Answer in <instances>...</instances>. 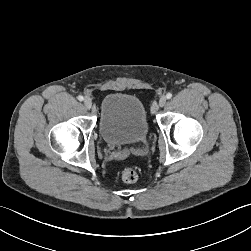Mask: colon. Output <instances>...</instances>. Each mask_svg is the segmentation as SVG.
<instances>
[{
	"label": "colon",
	"mask_w": 251,
	"mask_h": 251,
	"mask_svg": "<svg viewBox=\"0 0 251 251\" xmlns=\"http://www.w3.org/2000/svg\"><path fill=\"white\" fill-rule=\"evenodd\" d=\"M122 180L126 183H134L138 180V172L132 167H126L122 171Z\"/></svg>",
	"instance_id": "1"
}]
</instances>
